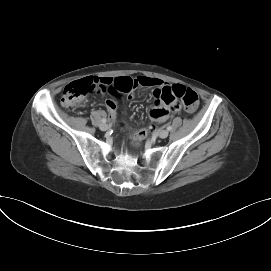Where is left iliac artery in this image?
Masks as SVG:
<instances>
[{
  "label": "left iliac artery",
  "mask_w": 271,
  "mask_h": 271,
  "mask_svg": "<svg viewBox=\"0 0 271 271\" xmlns=\"http://www.w3.org/2000/svg\"><path fill=\"white\" fill-rule=\"evenodd\" d=\"M167 130H168V131H171V130H172V127H171V126H168V127H167Z\"/></svg>",
  "instance_id": "1"
}]
</instances>
